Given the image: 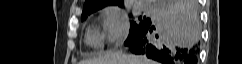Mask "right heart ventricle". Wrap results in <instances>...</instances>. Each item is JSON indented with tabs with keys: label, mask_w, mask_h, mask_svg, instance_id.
I'll return each mask as SVG.
<instances>
[{
	"label": "right heart ventricle",
	"mask_w": 242,
	"mask_h": 64,
	"mask_svg": "<svg viewBox=\"0 0 242 64\" xmlns=\"http://www.w3.org/2000/svg\"><path fill=\"white\" fill-rule=\"evenodd\" d=\"M85 42L90 47L99 48L102 45V37L95 28L89 27L86 31Z\"/></svg>",
	"instance_id": "obj_1"
}]
</instances>
